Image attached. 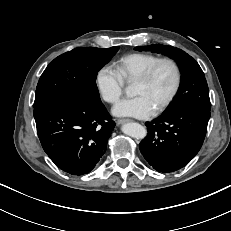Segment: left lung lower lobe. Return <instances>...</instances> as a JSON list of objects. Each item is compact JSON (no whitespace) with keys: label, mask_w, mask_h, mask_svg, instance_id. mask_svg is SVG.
Instances as JSON below:
<instances>
[{"label":"left lung lower lobe","mask_w":231,"mask_h":231,"mask_svg":"<svg viewBox=\"0 0 231 231\" xmlns=\"http://www.w3.org/2000/svg\"><path fill=\"white\" fill-rule=\"evenodd\" d=\"M210 110L182 107L147 122L148 135L139 148L145 160L158 172H174L187 165L200 150Z\"/></svg>","instance_id":"obj_1"}]
</instances>
